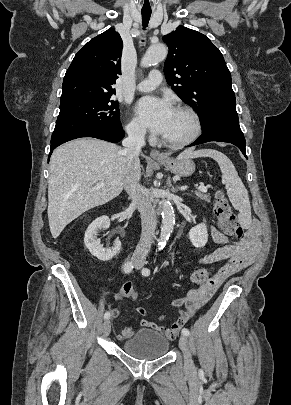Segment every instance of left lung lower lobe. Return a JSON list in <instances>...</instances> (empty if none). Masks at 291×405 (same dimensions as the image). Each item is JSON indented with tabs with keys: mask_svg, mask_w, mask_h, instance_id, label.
Listing matches in <instances>:
<instances>
[{
	"mask_svg": "<svg viewBox=\"0 0 291 405\" xmlns=\"http://www.w3.org/2000/svg\"><path fill=\"white\" fill-rule=\"evenodd\" d=\"M210 141L228 142L236 145L246 156V141L240 129L238 120L223 119L216 122L209 130L204 132L198 140L189 146H194Z\"/></svg>",
	"mask_w": 291,
	"mask_h": 405,
	"instance_id": "left-lung-lower-lobe-1",
	"label": "left lung lower lobe"
}]
</instances>
